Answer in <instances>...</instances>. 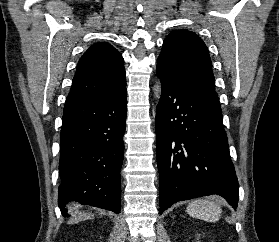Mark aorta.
I'll list each match as a JSON object with an SVG mask.
<instances>
[{
	"instance_id": "obj_1",
	"label": "aorta",
	"mask_w": 279,
	"mask_h": 242,
	"mask_svg": "<svg viewBox=\"0 0 279 242\" xmlns=\"http://www.w3.org/2000/svg\"><path fill=\"white\" fill-rule=\"evenodd\" d=\"M154 90H155V93L158 94L160 92V86L157 85Z\"/></svg>"
}]
</instances>
